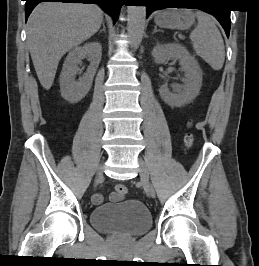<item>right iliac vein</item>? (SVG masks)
I'll return each instance as SVG.
<instances>
[{"label":"right iliac vein","instance_id":"63e3f726","mask_svg":"<svg viewBox=\"0 0 259 266\" xmlns=\"http://www.w3.org/2000/svg\"><path fill=\"white\" fill-rule=\"evenodd\" d=\"M103 178V165L101 164L98 169H97V173H96V179L95 182L96 184Z\"/></svg>","mask_w":259,"mask_h":266}]
</instances>
